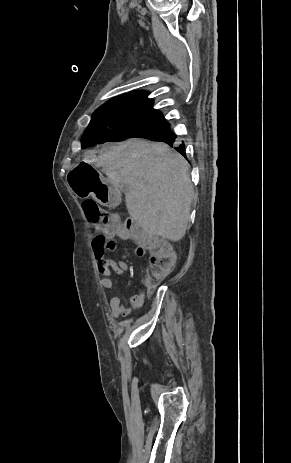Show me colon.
I'll return each instance as SVG.
<instances>
[{
  "label": "colon",
  "instance_id": "colon-1",
  "mask_svg": "<svg viewBox=\"0 0 291 463\" xmlns=\"http://www.w3.org/2000/svg\"><path fill=\"white\" fill-rule=\"evenodd\" d=\"M82 207L93 230L99 236L105 234L130 239L144 253L149 252L150 264L147 277L149 286H153L173 270L176 263L174 250L155 239L137 222L132 219L121 220L116 214L101 208L93 199H85Z\"/></svg>",
  "mask_w": 291,
  "mask_h": 463
}]
</instances>
